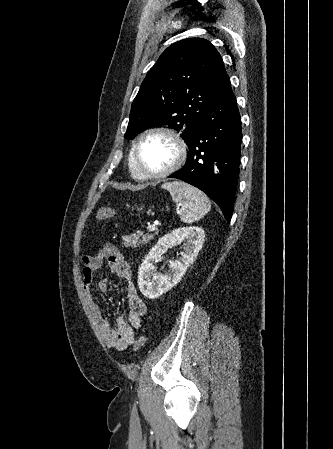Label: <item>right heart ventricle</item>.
I'll use <instances>...</instances> for the list:
<instances>
[{
    "label": "right heart ventricle",
    "instance_id": "e07e8e85",
    "mask_svg": "<svg viewBox=\"0 0 333 449\" xmlns=\"http://www.w3.org/2000/svg\"><path fill=\"white\" fill-rule=\"evenodd\" d=\"M128 167H129V172H130L131 176L135 179H140L138 172L136 170V167H135L132 151L129 154Z\"/></svg>",
    "mask_w": 333,
    "mask_h": 449
}]
</instances>
